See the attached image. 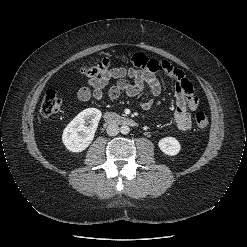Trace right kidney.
Masks as SVG:
<instances>
[{
	"label": "right kidney",
	"mask_w": 247,
	"mask_h": 247,
	"mask_svg": "<svg viewBox=\"0 0 247 247\" xmlns=\"http://www.w3.org/2000/svg\"><path fill=\"white\" fill-rule=\"evenodd\" d=\"M101 111L96 108H87L80 112L64 129L62 141L71 152H82L92 142Z\"/></svg>",
	"instance_id": "1"
}]
</instances>
